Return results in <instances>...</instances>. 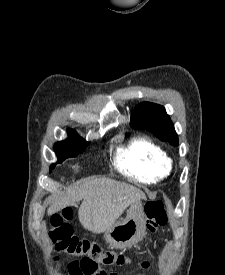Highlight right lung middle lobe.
<instances>
[{
	"mask_svg": "<svg viewBox=\"0 0 225 275\" xmlns=\"http://www.w3.org/2000/svg\"><path fill=\"white\" fill-rule=\"evenodd\" d=\"M69 138L57 142L54 146L55 153L59 159V162H62L66 158L76 156L79 153H82L85 148L89 145V142L81 138L75 131H68ZM55 168V164H52L50 167V172Z\"/></svg>",
	"mask_w": 225,
	"mask_h": 275,
	"instance_id": "dd1d6c3e",
	"label": "right lung middle lobe"
}]
</instances>
